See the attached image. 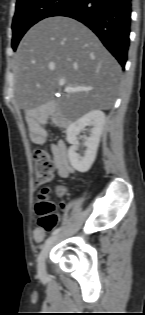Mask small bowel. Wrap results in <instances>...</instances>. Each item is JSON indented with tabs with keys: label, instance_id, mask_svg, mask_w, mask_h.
I'll return each mask as SVG.
<instances>
[{
	"label": "small bowel",
	"instance_id": "c3829d8e",
	"mask_svg": "<svg viewBox=\"0 0 145 315\" xmlns=\"http://www.w3.org/2000/svg\"><path fill=\"white\" fill-rule=\"evenodd\" d=\"M30 136L32 140L36 143H42L44 141V130L41 125V120L37 119L33 121L29 126ZM50 150L53 156V163L57 175L61 178H67L73 173V167L69 162L68 156V148L64 141H58L56 143L50 144ZM66 192V188L64 186H58L56 189V193L59 196L64 195ZM59 217H61L59 215ZM53 224H51L52 226ZM46 232L43 229L35 228L33 232V239L36 242L42 241Z\"/></svg>",
	"mask_w": 145,
	"mask_h": 315
}]
</instances>
